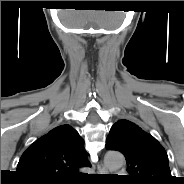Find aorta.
<instances>
[{
  "label": "aorta",
  "mask_w": 184,
  "mask_h": 184,
  "mask_svg": "<svg viewBox=\"0 0 184 184\" xmlns=\"http://www.w3.org/2000/svg\"><path fill=\"white\" fill-rule=\"evenodd\" d=\"M104 163L110 171H116L123 166L124 157L119 152L109 151L104 157Z\"/></svg>",
  "instance_id": "obj_1"
}]
</instances>
